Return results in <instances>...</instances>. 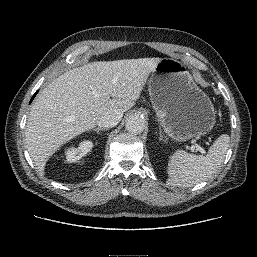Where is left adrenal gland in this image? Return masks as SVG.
I'll return each mask as SVG.
<instances>
[{"label":"left adrenal gland","mask_w":257,"mask_h":257,"mask_svg":"<svg viewBox=\"0 0 257 257\" xmlns=\"http://www.w3.org/2000/svg\"><path fill=\"white\" fill-rule=\"evenodd\" d=\"M159 139H160V140H164V139H163V136H162V131H161V129H160V131H159Z\"/></svg>","instance_id":"left-adrenal-gland-1"}]
</instances>
